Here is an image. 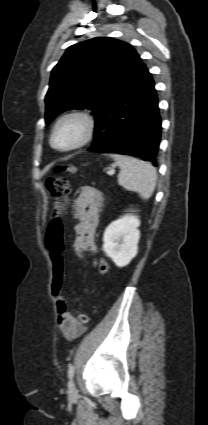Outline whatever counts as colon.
Wrapping results in <instances>:
<instances>
[{
  "label": "colon",
  "mask_w": 208,
  "mask_h": 425,
  "mask_svg": "<svg viewBox=\"0 0 208 425\" xmlns=\"http://www.w3.org/2000/svg\"><path fill=\"white\" fill-rule=\"evenodd\" d=\"M56 174L60 176L49 177L46 180V188L50 195L52 196L55 204L53 218L50 222L47 235H46V245L50 251L51 260L53 264V275L51 282V291L55 297L62 295L63 283H64V244H63V224H62V211L67 199V196L70 192L69 181L66 176H75L77 174V169L74 165H58L55 167ZM74 254L79 257L83 256V252L74 247ZM99 272L105 274L108 271V265L103 260H99ZM77 321L83 326L86 325L89 321L87 315L79 314L77 316Z\"/></svg>",
  "instance_id": "colon-1"
}]
</instances>
